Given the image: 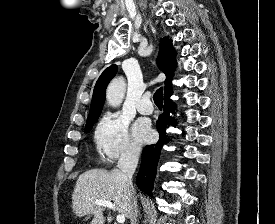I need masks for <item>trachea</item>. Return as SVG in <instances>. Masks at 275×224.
<instances>
[{
  "label": "trachea",
  "mask_w": 275,
  "mask_h": 224,
  "mask_svg": "<svg viewBox=\"0 0 275 224\" xmlns=\"http://www.w3.org/2000/svg\"><path fill=\"white\" fill-rule=\"evenodd\" d=\"M153 100L154 103L158 106V107H162L163 106V88H159L153 95Z\"/></svg>",
  "instance_id": "1"
}]
</instances>
